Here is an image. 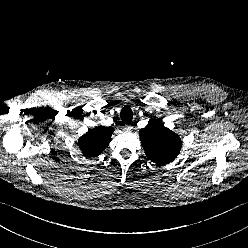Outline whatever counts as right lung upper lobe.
<instances>
[{"instance_id":"obj_1","label":"right lung upper lobe","mask_w":248,"mask_h":248,"mask_svg":"<svg viewBox=\"0 0 248 248\" xmlns=\"http://www.w3.org/2000/svg\"><path fill=\"white\" fill-rule=\"evenodd\" d=\"M114 129L112 127L98 126L89 129L78 140V145L86 157H95L101 154L110 142Z\"/></svg>"}]
</instances>
